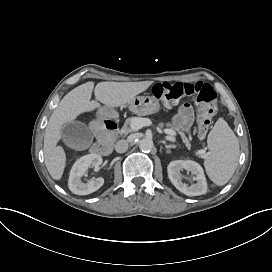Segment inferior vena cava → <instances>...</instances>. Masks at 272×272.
Instances as JSON below:
<instances>
[{
  "label": "inferior vena cava",
  "mask_w": 272,
  "mask_h": 272,
  "mask_svg": "<svg viewBox=\"0 0 272 272\" xmlns=\"http://www.w3.org/2000/svg\"><path fill=\"white\" fill-rule=\"evenodd\" d=\"M128 149V142L126 140H119L115 145V150L118 153H124Z\"/></svg>",
  "instance_id": "602c4592"
}]
</instances>
